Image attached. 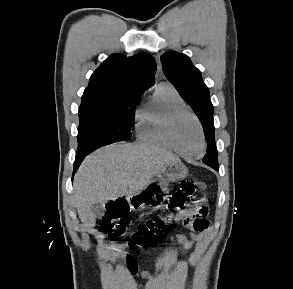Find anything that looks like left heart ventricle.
<instances>
[{
	"mask_svg": "<svg viewBox=\"0 0 293 289\" xmlns=\"http://www.w3.org/2000/svg\"><path fill=\"white\" fill-rule=\"evenodd\" d=\"M178 147L187 155L197 156L201 152L202 139L196 122L190 116H183L175 126Z\"/></svg>",
	"mask_w": 293,
	"mask_h": 289,
	"instance_id": "b2bd125f",
	"label": "left heart ventricle"
}]
</instances>
